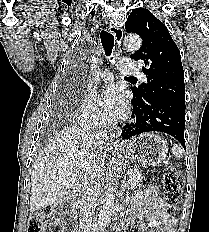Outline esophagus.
<instances>
[{
  "instance_id": "1",
  "label": "esophagus",
  "mask_w": 209,
  "mask_h": 232,
  "mask_svg": "<svg viewBox=\"0 0 209 232\" xmlns=\"http://www.w3.org/2000/svg\"><path fill=\"white\" fill-rule=\"evenodd\" d=\"M109 32L115 36L118 46H121L123 40V30L117 26L110 25ZM111 139L115 146L119 145L118 134L116 132L111 133Z\"/></svg>"
}]
</instances>
